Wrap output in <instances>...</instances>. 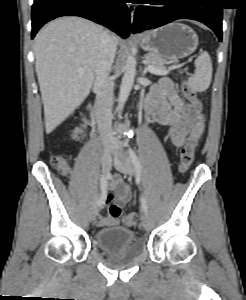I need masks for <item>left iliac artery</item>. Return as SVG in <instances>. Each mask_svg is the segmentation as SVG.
<instances>
[{
    "label": "left iliac artery",
    "instance_id": "1",
    "mask_svg": "<svg viewBox=\"0 0 246 300\" xmlns=\"http://www.w3.org/2000/svg\"><path fill=\"white\" fill-rule=\"evenodd\" d=\"M129 153H130V157L132 159V162H133L136 170L138 172H141L142 165H141V162H140L138 156L136 155V153L131 148H129ZM141 204H142L143 210L147 211L146 199H145V197L143 195L141 196Z\"/></svg>",
    "mask_w": 246,
    "mask_h": 300
}]
</instances>
